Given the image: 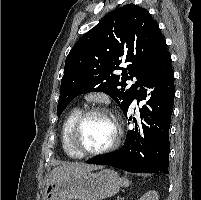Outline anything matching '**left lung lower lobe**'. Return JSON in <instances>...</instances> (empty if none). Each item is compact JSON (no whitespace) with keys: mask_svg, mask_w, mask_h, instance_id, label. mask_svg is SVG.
<instances>
[{"mask_svg":"<svg viewBox=\"0 0 201 200\" xmlns=\"http://www.w3.org/2000/svg\"><path fill=\"white\" fill-rule=\"evenodd\" d=\"M139 87L133 100L137 99L138 103L147 100L146 104L153 112L145 106L140 109V117L150 124V127L141 123V131L136 125L135 130L128 131L125 144L119 150L94 157L86 163L110 165L133 173H169V128L175 87L171 56L168 51ZM124 114L127 115V112ZM134 122L136 123L135 120Z\"/></svg>","mask_w":201,"mask_h":200,"instance_id":"left-lung-lower-lobe-1","label":"left lung lower lobe"}]
</instances>
